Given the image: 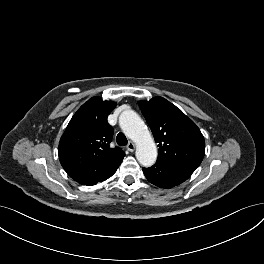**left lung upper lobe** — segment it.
Listing matches in <instances>:
<instances>
[{"instance_id": "1", "label": "left lung upper lobe", "mask_w": 264, "mask_h": 264, "mask_svg": "<svg viewBox=\"0 0 264 264\" xmlns=\"http://www.w3.org/2000/svg\"><path fill=\"white\" fill-rule=\"evenodd\" d=\"M139 106L158 143V160L195 170L205 153L204 137L195 123L162 97L140 101Z\"/></svg>"}]
</instances>
